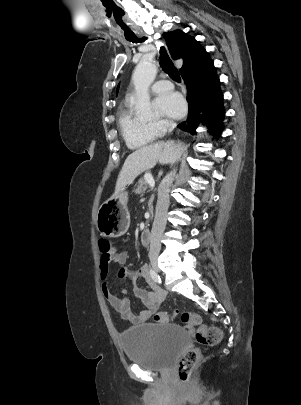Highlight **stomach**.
Wrapping results in <instances>:
<instances>
[{
  "mask_svg": "<svg viewBox=\"0 0 301 405\" xmlns=\"http://www.w3.org/2000/svg\"><path fill=\"white\" fill-rule=\"evenodd\" d=\"M127 200L128 193L123 189L100 206L96 226L103 236L119 237L126 233L130 225Z\"/></svg>",
  "mask_w": 301,
  "mask_h": 405,
  "instance_id": "stomach-1",
  "label": "stomach"
}]
</instances>
